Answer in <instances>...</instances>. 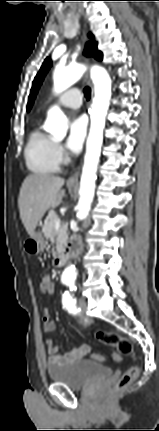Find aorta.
I'll return each instance as SVG.
<instances>
[{
    "instance_id": "1",
    "label": "aorta",
    "mask_w": 159,
    "mask_h": 431,
    "mask_svg": "<svg viewBox=\"0 0 159 431\" xmlns=\"http://www.w3.org/2000/svg\"><path fill=\"white\" fill-rule=\"evenodd\" d=\"M86 71L82 64H73L67 67L57 66L54 71V90L60 93L76 83ZM91 79L94 83L95 97L91 111V127L87 139L86 155L80 181V199L78 203V218L84 220L90 211L94 197L97 165L100 158L103 142V129L105 118L111 98V79L107 71L100 66H92ZM45 129L54 138L62 139L67 132L66 117L58 107L49 110ZM77 271L74 264H69L62 273V280L66 284H74Z\"/></svg>"
}]
</instances>
